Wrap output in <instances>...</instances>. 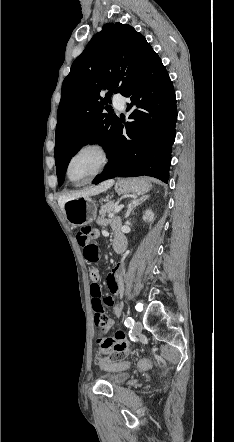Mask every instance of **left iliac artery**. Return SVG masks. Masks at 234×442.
<instances>
[{
	"label": "left iliac artery",
	"instance_id": "1",
	"mask_svg": "<svg viewBox=\"0 0 234 442\" xmlns=\"http://www.w3.org/2000/svg\"><path fill=\"white\" fill-rule=\"evenodd\" d=\"M124 323L126 327H132L134 325V320L132 317H127Z\"/></svg>",
	"mask_w": 234,
	"mask_h": 442
}]
</instances>
